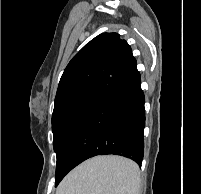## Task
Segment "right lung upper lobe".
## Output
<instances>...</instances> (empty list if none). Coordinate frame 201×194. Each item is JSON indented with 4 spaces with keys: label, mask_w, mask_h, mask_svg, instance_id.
<instances>
[{
    "label": "right lung upper lobe",
    "mask_w": 201,
    "mask_h": 194,
    "mask_svg": "<svg viewBox=\"0 0 201 194\" xmlns=\"http://www.w3.org/2000/svg\"><path fill=\"white\" fill-rule=\"evenodd\" d=\"M131 47L117 33H103L69 62L60 79L54 107L74 98L98 96L136 68Z\"/></svg>",
    "instance_id": "right-lung-upper-lobe-1"
}]
</instances>
